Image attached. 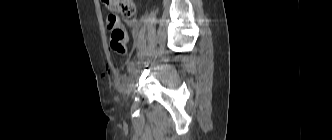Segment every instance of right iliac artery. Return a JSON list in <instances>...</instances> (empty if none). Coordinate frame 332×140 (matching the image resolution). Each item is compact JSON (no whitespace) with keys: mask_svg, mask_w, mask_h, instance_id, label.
Wrapping results in <instances>:
<instances>
[{"mask_svg":"<svg viewBox=\"0 0 332 140\" xmlns=\"http://www.w3.org/2000/svg\"><path fill=\"white\" fill-rule=\"evenodd\" d=\"M133 66H134L133 62L128 63V66H127L128 72H130L132 70Z\"/></svg>","mask_w":332,"mask_h":140,"instance_id":"right-iliac-artery-1","label":"right iliac artery"}]
</instances>
